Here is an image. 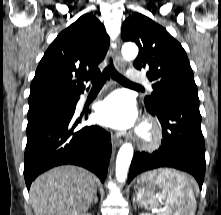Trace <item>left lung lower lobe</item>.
I'll return each mask as SVG.
<instances>
[{"instance_id":"left-lung-lower-lobe-1","label":"left lung lower lobe","mask_w":221,"mask_h":215,"mask_svg":"<svg viewBox=\"0 0 221 215\" xmlns=\"http://www.w3.org/2000/svg\"><path fill=\"white\" fill-rule=\"evenodd\" d=\"M147 110L157 116L163 139L152 154L136 152L128 183L139 173L159 167H172L193 175L202 188L205 174V145L199 105L178 97L159 99Z\"/></svg>"}]
</instances>
